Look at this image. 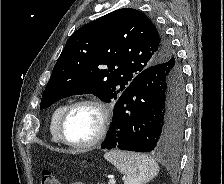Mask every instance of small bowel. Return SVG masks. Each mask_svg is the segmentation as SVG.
Masks as SVG:
<instances>
[{
  "instance_id": "small-bowel-1",
  "label": "small bowel",
  "mask_w": 224,
  "mask_h": 184,
  "mask_svg": "<svg viewBox=\"0 0 224 184\" xmlns=\"http://www.w3.org/2000/svg\"><path fill=\"white\" fill-rule=\"evenodd\" d=\"M72 184H83V183H81V182H75V183H72Z\"/></svg>"
}]
</instances>
